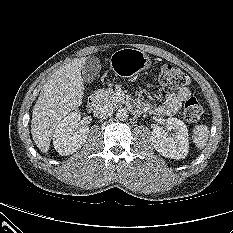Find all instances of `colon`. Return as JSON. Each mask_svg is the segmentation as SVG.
<instances>
[{"instance_id": "1", "label": "colon", "mask_w": 233, "mask_h": 233, "mask_svg": "<svg viewBox=\"0 0 233 233\" xmlns=\"http://www.w3.org/2000/svg\"><path fill=\"white\" fill-rule=\"evenodd\" d=\"M156 79L160 84L173 89L183 88L189 83L187 74L170 64L161 66L156 74ZM202 113L203 108L196 98L190 97L186 100L183 116L188 122H197L201 118Z\"/></svg>"}]
</instances>
